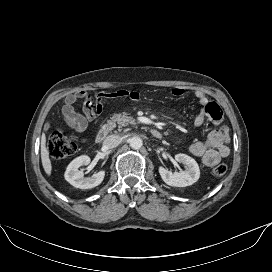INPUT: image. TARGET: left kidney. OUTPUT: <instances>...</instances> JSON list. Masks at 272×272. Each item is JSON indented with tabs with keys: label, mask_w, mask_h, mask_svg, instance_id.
<instances>
[{
	"label": "left kidney",
	"mask_w": 272,
	"mask_h": 272,
	"mask_svg": "<svg viewBox=\"0 0 272 272\" xmlns=\"http://www.w3.org/2000/svg\"><path fill=\"white\" fill-rule=\"evenodd\" d=\"M175 160L185 166V170L172 173L160 166L159 173L162 180L169 186L186 187L194 184L200 177L198 163L186 154H176Z\"/></svg>",
	"instance_id": "obj_1"
}]
</instances>
